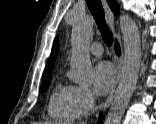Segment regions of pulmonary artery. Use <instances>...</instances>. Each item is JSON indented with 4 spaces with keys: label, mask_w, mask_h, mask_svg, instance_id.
I'll list each match as a JSON object with an SVG mask.
<instances>
[{
    "label": "pulmonary artery",
    "mask_w": 156,
    "mask_h": 124,
    "mask_svg": "<svg viewBox=\"0 0 156 124\" xmlns=\"http://www.w3.org/2000/svg\"><path fill=\"white\" fill-rule=\"evenodd\" d=\"M89 51L95 55V56H100L103 53V47L102 44L100 42H93L90 46H89Z\"/></svg>",
    "instance_id": "1"
}]
</instances>
